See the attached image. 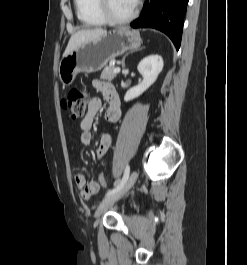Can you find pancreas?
<instances>
[{"mask_svg":"<svg viewBox=\"0 0 247 265\" xmlns=\"http://www.w3.org/2000/svg\"><path fill=\"white\" fill-rule=\"evenodd\" d=\"M114 66L112 67H106L102 73H101V76L100 78L103 79V80H113L115 77H116V74L114 73Z\"/></svg>","mask_w":247,"mask_h":265,"instance_id":"1","label":"pancreas"}]
</instances>
